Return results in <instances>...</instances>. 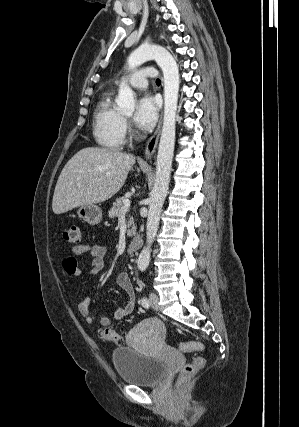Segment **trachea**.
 Segmentation results:
<instances>
[{"label":"trachea","mask_w":299,"mask_h":427,"mask_svg":"<svg viewBox=\"0 0 299 427\" xmlns=\"http://www.w3.org/2000/svg\"><path fill=\"white\" fill-rule=\"evenodd\" d=\"M156 83H157V84H160V83H161V80H160V79H157V80H156Z\"/></svg>","instance_id":"obj_1"}]
</instances>
